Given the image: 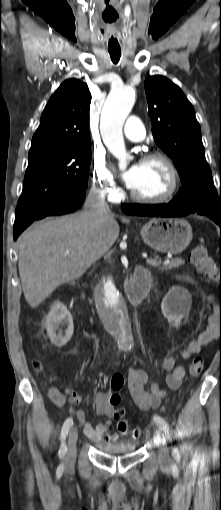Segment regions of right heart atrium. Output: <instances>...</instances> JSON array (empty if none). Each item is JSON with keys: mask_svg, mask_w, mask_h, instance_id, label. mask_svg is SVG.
<instances>
[{"mask_svg": "<svg viewBox=\"0 0 221 510\" xmlns=\"http://www.w3.org/2000/svg\"><path fill=\"white\" fill-rule=\"evenodd\" d=\"M92 187L103 197L113 200L117 197L119 188L113 171L105 158L95 155L92 164Z\"/></svg>", "mask_w": 221, "mask_h": 510, "instance_id": "right-heart-atrium-1", "label": "right heart atrium"}]
</instances>
